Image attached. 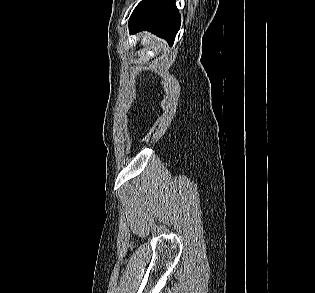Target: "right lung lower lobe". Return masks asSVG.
Wrapping results in <instances>:
<instances>
[{
  "label": "right lung lower lobe",
  "mask_w": 315,
  "mask_h": 293,
  "mask_svg": "<svg viewBox=\"0 0 315 293\" xmlns=\"http://www.w3.org/2000/svg\"><path fill=\"white\" fill-rule=\"evenodd\" d=\"M130 32L147 30L173 44L180 28L175 0H142L129 20Z\"/></svg>",
  "instance_id": "obj_1"
}]
</instances>
